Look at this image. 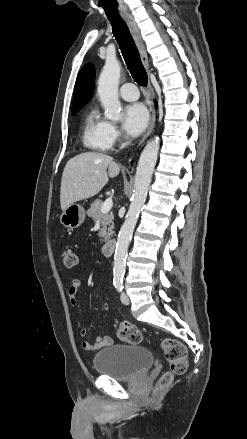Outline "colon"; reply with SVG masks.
I'll use <instances>...</instances> for the list:
<instances>
[{
	"label": "colon",
	"mask_w": 247,
	"mask_h": 439,
	"mask_svg": "<svg viewBox=\"0 0 247 439\" xmlns=\"http://www.w3.org/2000/svg\"><path fill=\"white\" fill-rule=\"evenodd\" d=\"M64 265L72 268L77 265V255L72 250H66L63 254ZM117 336L122 341L130 344H140L143 341L142 332L134 325L123 322L119 325ZM161 348L169 364V371L163 374L160 385L165 386L172 381L173 375L185 373L188 366L187 350L183 343L176 339H164Z\"/></svg>",
	"instance_id": "5ec220e1"
}]
</instances>
